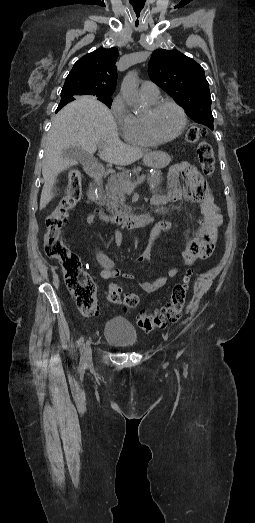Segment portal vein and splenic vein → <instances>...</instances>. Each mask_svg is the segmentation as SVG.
<instances>
[{
  "label": "portal vein and splenic vein",
  "mask_w": 255,
  "mask_h": 523,
  "mask_svg": "<svg viewBox=\"0 0 255 523\" xmlns=\"http://www.w3.org/2000/svg\"><path fill=\"white\" fill-rule=\"evenodd\" d=\"M143 181H146V173H141L134 182H123V190H127L128 196H133L134 188L138 187V185H141Z\"/></svg>",
  "instance_id": "18ae733b"
}]
</instances>
